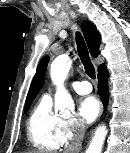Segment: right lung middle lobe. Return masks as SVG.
Wrapping results in <instances>:
<instances>
[{"mask_svg":"<svg viewBox=\"0 0 130 153\" xmlns=\"http://www.w3.org/2000/svg\"><path fill=\"white\" fill-rule=\"evenodd\" d=\"M32 102H33V101L28 102V103L25 104V113L29 110L30 105L32 104Z\"/></svg>","mask_w":130,"mask_h":153,"instance_id":"obj_1","label":"right lung middle lobe"}]
</instances>
